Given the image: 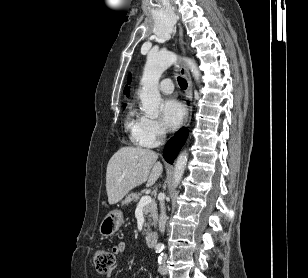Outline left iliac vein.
<instances>
[{
  "mask_svg": "<svg viewBox=\"0 0 308 278\" xmlns=\"http://www.w3.org/2000/svg\"><path fill=\"white\" fill-rule=\"evenodd\" d=\"M158 271L160 272V274L162 275H166L168 273V268H167V265L165 264V262H163L159 268H158Z\"/></svg>",
  "mask_w": 308,
  "mask_h": 278,
  "instance_id": "1",
  "label": "left iliac vein"
}]
</instances>
